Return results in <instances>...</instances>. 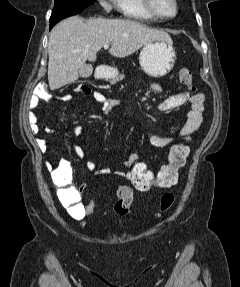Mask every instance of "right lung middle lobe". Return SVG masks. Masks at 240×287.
Instances as JSON below:
<instances>
[{
	"instance_id": "obj_1",
	"label": "right lung middle lobe",
	"mask_w": 240,
	"mask_h": 287,
	"mask_svg": "<svg viewBox=\"0 0 240 287\" xmlns=\"http://www.w3.org/2000/svg\"><path fill=\"white\" fill-rule=\"evenodd\" d=\"M95 0H55L54 9L50 17V24L63 18L76 15L83 11Z\"/></svg>"
}]
</instances>
